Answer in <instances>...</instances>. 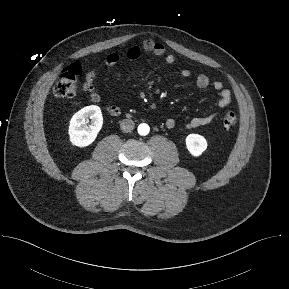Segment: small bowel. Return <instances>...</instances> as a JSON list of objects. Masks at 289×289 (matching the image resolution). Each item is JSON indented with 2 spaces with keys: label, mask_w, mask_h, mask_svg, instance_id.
Returning a JSON list of instances; mask_svg holds the SVG:
<instances>
[{
  "label": "small bowel",
  "mask_w": 289,
  "mask_h": 289,
  "mask_svg": "<svg viewBox=\"0 0 289 289\" xmlns=\"http://www.w3.org/2000/svg\"><path fill=\"white\" fill-rule=\"evenodd\" d=\"M142 52L151 53L155 56L162 57L166 64L172 65L175 63L176 58L173 54L167 53L165 46L152 39L145 40L141 46H131L125 52V56L130 60H136L140 57ZM121 59V55L118 53H110L107 55L105 63L107 66L112 67L116 65ZM181 75L184 78L191 76V71L189 69H182ZM97 77V72L95 70H90L85 75V80L83 83V90L89 95V98L94 103H99L101 101V96L96 91L95 80ZM195 83L197 87L205 89L212 87L219 94V99L217 101V106L220 108L230 105L232 101L231 92L224 87L221 81L211 82L210 78L204 74L199 73L195 77ZM106 110L109 114L117 116L122 111V106L117 104H107ZM217 117V112L213 111L204 116L194 117L190 119L186 124V129H194L210 124ZM166 126L169 129H174L177 126V122L174 119H168L166 121Z\"/></svg>",
  "instance_id": "1"
}]
</instances>
